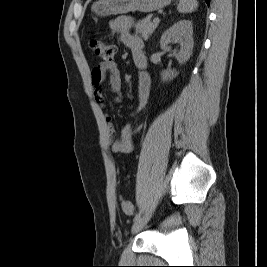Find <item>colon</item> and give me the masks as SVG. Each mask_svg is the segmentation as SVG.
<instances>
[{
    "label": "colon",
    "mask_w": 267,
    "mask_h": 267,
    "mask_svg": "<svg viewBox=\"0 0 267 267\" xmlns=\"http://www.w3.org/2000/svg\"><path fill=\"white\" fill-rule=\"evenodd\" d=\"M92 51L105 62H112L116 54V47L110 42L92 38L89 42ZM121 208L126 215L131 216L134 212V207L131 202L121 200Z\"/></svg>",
    "instance_id": "5ec220e1"
}]
</instances>
